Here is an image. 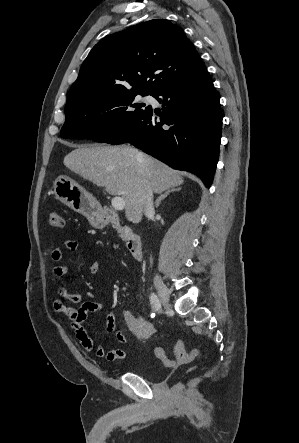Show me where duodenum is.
<instances>
[{"instance_id": "1", "label": "duodenum", "mask_w": 299, "mask_h": 443, "mask_svg": "<svg viewBox=\"0 0 299 443\" xmlns=\"http://www.w3.org/2000/svg\"><path fill=\"white\" fill-rule=\"evenodd\" d=\"M100 217L104 225H109L124 234L125 244L130 254L137 260L141 259L142 243L140 237L123 227L119 217L113 211L103 208Z\"/></svg>"}]
</instances>
